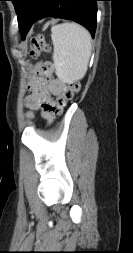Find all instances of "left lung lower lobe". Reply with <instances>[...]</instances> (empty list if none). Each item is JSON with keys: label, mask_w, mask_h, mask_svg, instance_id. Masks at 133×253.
I'll return each mask as SVG.
<instances>
[{"label": "left lung lower lobe", "mask_w": 133, "mask_h": 253, "mask_svg": "<svg viewBox=\"0 0 133 253\" xmlns=\"http://www.w3.org/2000/svg\"><path fill=\"white\" fill-rule=\"evenodd\" d=\"M96 1L100 0H24L17 14L21 36L25 39L32 24L44 17L73 20L86 27L94 36L97 24Z\"/></svg>", "instance_id": "0a47b994"}]
</instances>
